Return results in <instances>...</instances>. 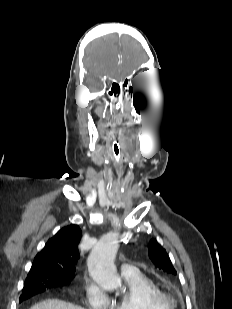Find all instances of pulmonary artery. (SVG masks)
<instances>
[{
    "instance_id": "pulmonary-artery-1",
    "label": "pulmonary artery",
    "mask_w": 232,
    "mask_h": 309,
    "mask_svg": "<svg viewBox=\"0 0 232 309\" xmlns=\"http://www.w3.org/2000/svg\"><path fill=\"white\" fill-rule=\"evenodd\" d=\"M138 269L128 263H122L120 265V272L122 274V276H125V275H130V274H133L135 272H137Z\"/></svg>"
}]
</instances>
